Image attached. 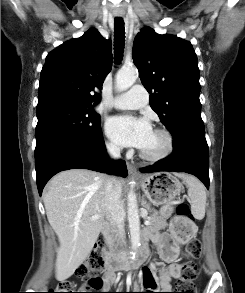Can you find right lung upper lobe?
Wrapping results in <instances>:
<instances>
[{"label":"right lung upper lobe","instance_id":"obj_1","mask_svg":"<svg viewBox=\"0 0 245 293\" xmlns=\"http://www.w3.org/2000/svg\"><path fill=\"white\" fill-rule=\"evenodd\" d=\"M112 67V45L94 28L51 51L42 68L37 109L51 105L91 107Z\"/></svg>","mask_w":245,"mask_h":293}]
</instances>
